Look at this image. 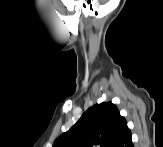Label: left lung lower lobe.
Listing matches in <instances>:
<instances>
[{"label": "left lung lower lobe", "mask_w": 163, "mask_h": 147, "mask_svg": "<svg viewBox=\"0 0 163 147\" xmlns=\"http://www.w3.org/2000/svg\"><path fill=\"white\" fill-rule=\"evenodd\" d=\"M114 147H133L131 131L128 127L124 129Z\"/></svg>", "instance_id": "1"}]
</instances>
